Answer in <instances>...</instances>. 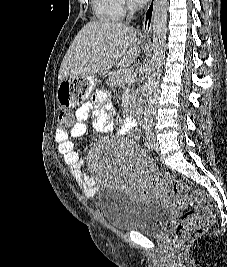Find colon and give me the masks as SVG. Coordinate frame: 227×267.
<instances>
[{
  "label": "colon",
  "mask_w": 227,
  "mask_h": 267,
  "mask_svg": "<svg viewBox=\"0 0 227 267\" xmlns=\"http://www.w3.org/2000/svg\"><path fill=\"white\" fill-rule=\"evenodd\" d=\"M59 118L61 125L58 126V129L70 130L72 120L69 119H75V114H72V110H61ZM166 180L175 196L192 206V209L182 214L175 228L174 242L177 247H180L212 226L211 203L205 192L192 190L186 182L171 177H166Z\"/></svg>",
  "instance_id": "1"
}]
</instances>
